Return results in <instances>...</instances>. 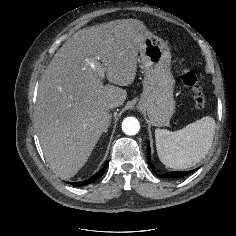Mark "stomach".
I'll list each match as a JSON object with an SVG mask.
<instances>
[{"label": "stomach", "instance_id": "1", "mask_svg": "<svg viewBox=\"0 0 236 236\" xmlns=\"http://www.w3.org/2000/svg\"><path fill=\"white\" fill-rule=\"evenodd\" d=\"M144 69L143 91L138 108L147 113L153 126H167L175 112L171 72V53L168 45L150 33L140 49Z\"/></svg>", "mask_w": 236, "mask_h": 236}]
</instances>
